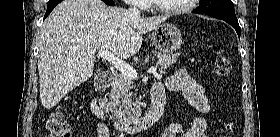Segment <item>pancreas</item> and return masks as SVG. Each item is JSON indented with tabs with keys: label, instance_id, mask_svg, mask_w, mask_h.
Wrapping results in <instances>:
<instances>
[{
	"label": "pancreas",
	"instance_id": "1",
	"mask_svg": "<svg viewBox=\"0 0 280 137\" xmlns=\"http://www.w3.org/2000/svg\"><path fill=\"white\" fill-rule=\"evenodd\" d=\"M159 61L157 65L160 69H166L177 61V54H155ZM137 89L132 79L121 75L114 89L109 94V102L106 111L112 114L111 118H115L122 122L130 121L139 115L138 106L133 102Z\"/></svg>",
	"mask_w": 280,
	"mask_h": 137
}]
</instances>
